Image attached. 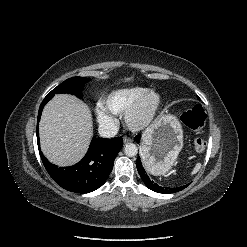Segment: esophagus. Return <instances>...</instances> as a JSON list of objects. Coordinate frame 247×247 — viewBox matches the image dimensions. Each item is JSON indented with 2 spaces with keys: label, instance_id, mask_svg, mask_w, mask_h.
Masks as SVG:
<instances>
[{
  "label": "esophagus",
  "instance_id": "esophagus-1",
  "mask_svg": "<svg viewBox=\"0 0 247 247\" xmlns=\"http://www.w3.org/2000/svg\"><path fill=\"white\" fill-rule=\"evenodd\" d=\"M123 141H124V143H129V142H132V139L125 136V137H123Z\"/></svg>",
  "mask_w": 247,
  "mask_h": 247
}]
</instances>
